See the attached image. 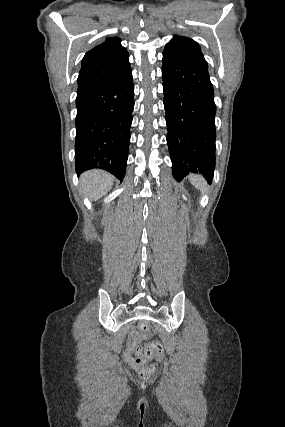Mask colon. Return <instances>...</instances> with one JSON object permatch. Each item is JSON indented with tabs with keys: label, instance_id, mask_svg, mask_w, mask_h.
<instances>
[{
	"label": "colon",
	"instance_id": "colon-1",
	"mask_svg": "<svg viewBox=\"0 0 285 427\" xmlns=\"http://www.w3.org/2000/svg\"><path fill=\"white\" fill-rule=\"evenodd\" d=\"M150 326L147 323H140L142 332H147ZM136 337V334L134 335ZM134 350V349H133ZM138 355L134 357V366L143 379H148L154 372V367L148 362L151 358H161L164 354L163 346L158 341L148 343L146 346L137 349Z\"/></svg>",
	"mask_w": 285,
	"mask_h": 427
}]
</instances>
